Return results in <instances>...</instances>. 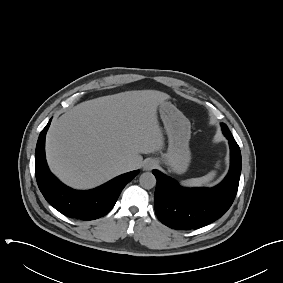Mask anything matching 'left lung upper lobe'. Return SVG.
<instances>
[{
    "label": "left lung upper lobe",
    "instance_id": "1",
    "mask_svg": "<svg viewBox=\"0 0 283 283\" xmlns=\"http://www.w3.org/2000/svg\"><path fill=\"white\" fill-rule=\"evenodd\" d=\"M222 130L224 134H231L226 124H222Z\"/></svg>",
    "mask_w": 283,
    "mask_h": 283
}]
</instances>
